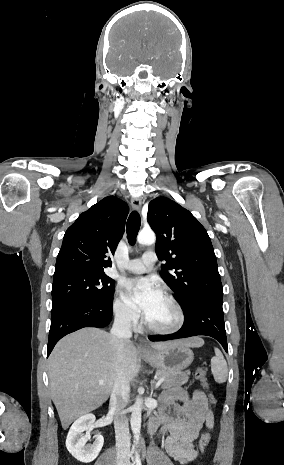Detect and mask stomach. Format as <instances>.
Listing matches in <instances>:
<instances>
[{
  "label": "stomach",
  "instance_id": "1",
  "mask_svg": "<svg viewBox=\"0 0 284 465\" xmlns=\"http://www.w3.org/2000/svg\"><path fill=\"white\" fill-rule=\"evenodd\" d=\"M142 357L160 371H183L191 365L194 353L183 341H172L163 351H143Z\"/></svg>",
  "mask_w": 284,
  "mask_h": 465
}]
</instances>
